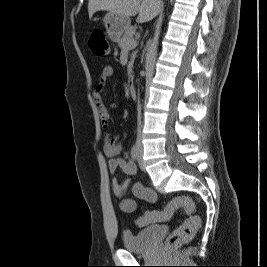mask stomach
<instances>
[{"instance_id": "obj_1", "label": "stomach", "mask_w": 267, "mask_h": 267, "mask_svg": "<svg viewBox=\"0 0 267 267\" xmlns=\"http://www.w3.org/2000/svg\"><path fill=\"white\" fill-rule=\"evenodd\" d=\"M103 22L108 34V37L113 42H119L122 34L130 26V19L128 17L120 16L111 12H108Z\"/></svg>"}]
</instances>
